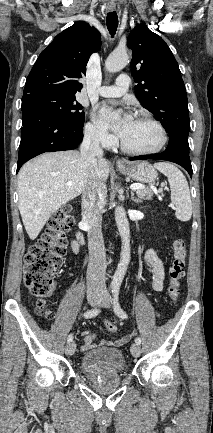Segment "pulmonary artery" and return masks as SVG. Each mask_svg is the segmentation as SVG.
<instances>
[{
	"instance_id": "obj_1",
	"label": "pulmonary artery",
	"mask_w": 213,
	"mask_h": 433,
	"mask_svg": "<svg viewBox=\"0 0 213 433\" xmlns=\"http://www.w3.org/2000/svg\"><path fill=\"white\" fill-rule=\"evenodd\" d=\"M130 79L126 74L118 76L115 85L102 86L98 89L99 95L103 97H120L126 93L129 88Z\"/></svg>"
}]
</instances>
